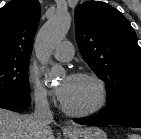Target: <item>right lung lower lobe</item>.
Instances as JSON below:
<instances>
[{"mask_svg": "<svg viewBox=\"0 0 141 139\" xmlns=\"http://www.w3.org/2000/svg\"><path fill=\"white\" fill-rule=\"evenodd\" d=\"M29 94L0 96V108L21 111L30 106Z\"/></svg>", "mask_w": 141, "mask_h": 139, "instance_id": "98d812e1", "label": "right lung lower lobe"}]
</instances>
